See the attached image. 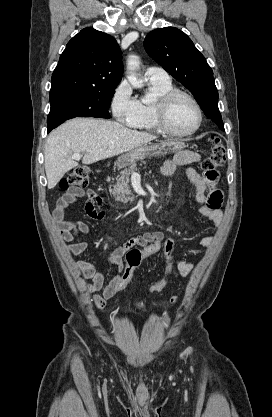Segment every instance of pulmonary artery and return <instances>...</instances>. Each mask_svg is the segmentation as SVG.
<instances>
[{
  "mask_svg": "<svg viewBox=\"0 0 272 417\" xmlns=\"http://www.w3.org/2000/svg\"><path fill=\"white\" fill-rule=\"evenodd\" d=\"M145 77L149 81L154 82H168L170 81V77L168 73L161 67H149L145 72Z\"/></svg>",
  "mask_w": 272,
  "mask_h": 417,
  "instance_id": "1",
  "label": "pulmonary artery"
}]
</instances>
